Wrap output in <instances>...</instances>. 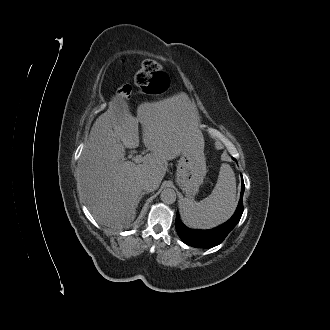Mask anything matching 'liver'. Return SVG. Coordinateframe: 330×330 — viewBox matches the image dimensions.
Instances as JSON below:
<instances>
[{"label": "liver", "instance_id": "1", "mask_svg": "<svg viewBox=\"0 0 330 330\" xmlns=\"http://www.w3.org/2000/svg\"><path fill=\"white\" fill-rule=\"evenodd\" d=\"M143 143L150 153L141 164L124 161L125 149ZM189 148H204L196 124V108L189 101L142 103L134 117L128 109L111 107L94 122L78 165V189L94 219L121 229L136 217L141 181L152 176L159 184L167 162Z\"/></svg>", "mask_w": 330, "mask_h": 330}]
</instances>
